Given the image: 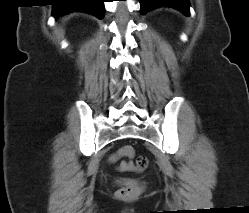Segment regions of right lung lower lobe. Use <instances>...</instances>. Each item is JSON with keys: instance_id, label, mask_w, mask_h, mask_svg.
Wrapping results in <instances>:
<instances>
[{"instance_id": "obj_1", "label": "right lung lower lobe", "mask_w": 249, "mask_h": 213, "mask_svg": "<svg viewBox=\"0 0 249 213\" xmlns=\"http://www.w3.org/2000/svg\"><path fill=\"white\" fill-rule=\"evenodd\" d=\"M105 0H55L53 4V15L68 13L71 11H84L98 18L104 16Z\"/></svg>"}]
</instances>
